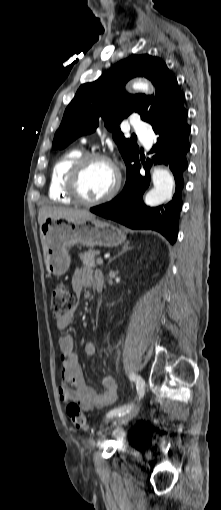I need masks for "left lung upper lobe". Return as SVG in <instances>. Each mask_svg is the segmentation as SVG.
<instances>
[{
    "instance_id": "left-lung-upper-lobe-1",
    "label": "left lung upper lobe",
    "mask_w": 221,
    "mask_h": 510,
    "mask_svg": "<svg viewBox=\"0 0 221 510\" xmlns=\"http://www.w3.org/2000/svg\"><path fill=\"white\" fill-rule=\"evenodd\" d=\"M136 76H145L155 85V96L129 95L126 82ZM185 96L178 89L176 78L160 58L147 54L128 57L115 64L105 75L92 83L80 86L63 115L56 131L52 148L62 149L79 136L92 133L102 118L113 132V138L126 167L138 158L139 148L126 139L118 124L135 112L152 127L174 121L184 114Z\"/></svg>"
}]
</instances>
